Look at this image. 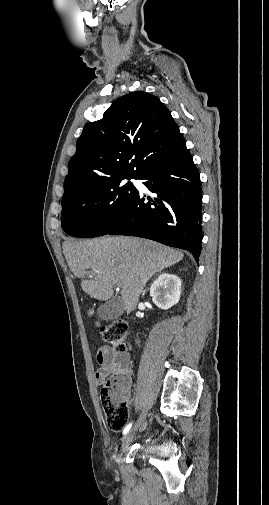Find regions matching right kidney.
Segmentation results:
<instances>
[{"label": "right kidney", "mask_w": 269, "mask_h": 505, "mask_svg": "<svg viewBox=\"0 0 269 505\" xmlns=\"http://www.w3.org/2000/svg\"><path fill=\"white\" fill-rule=\"evenodd\" d=\"M150 296L159 308H171L179 302L181 296L180 278L174 274H161L151 285Z\"/></svg>", "instance_id": "right-kidney-1"}]
</instances>
